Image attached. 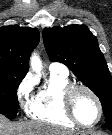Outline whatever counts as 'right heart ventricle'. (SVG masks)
Wrapping results in <instances>:
<instances>
[{"mask_svg": "<svg viewBox=\"0 0 112 135\" xmlns=\"http://www.w3.org/2000/svg\"><path fill=\"white\" fill-rule=\"evenodd\" d=\"M71 85L68 75L50 72L47 82L32 97L26 109L27 114L52 125L75 127L76 124L68 117L62 102L64 90Z\"/></svg>", "mask_w": 112, "mask_h": 135, "instance_id": "right-heart-ventricle-1", "label": "right heart ventricle"}]
</instances>
